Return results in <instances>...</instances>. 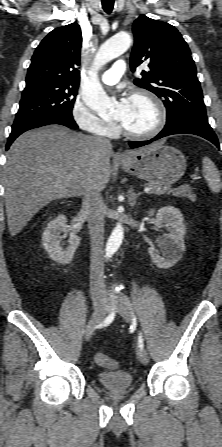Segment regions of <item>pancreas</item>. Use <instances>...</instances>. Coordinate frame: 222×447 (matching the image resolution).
I'll return each mask as SVG.
<instances>
[{
    "label": "pancreas",
    "mask_w": 222,
    "mask_h": 447,
    "mask_svg": "<svg viewBox=\"0 0 222 447\" xmlns=\"http://www.w3.org/2000/svg\"><path fill=\"white\" fill-rule=\"evenodd\" d=\"M148 187L151 188L150 194H159L157 191V189L159 188L158 185L149 183ZM170 193L175 197H186L192 202L196 201V195L193 192V188L189 185H182L175 189H169L167 194Z\"/></svg>",
    "instance_id": "cf45deb5"
}]
</instances>
